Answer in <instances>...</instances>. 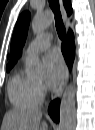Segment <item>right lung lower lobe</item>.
Segmentation results:
<instances>
[{"label": "right lung lower lobe", "mask_w": 95, "mask_h": 130, "mask_svg": "<svg viewBox=\"0 0 95 130\" xmlns=\"http://www.w3.org/2000/svg\"><path fill=\"white\" fill-rule=\"evenodd\" d=\"M75 46L73 41L72 31L68 32V36L65 42L62 44V53L65 57L67 64L71 67L74 59ZM49 114L56 122L59 121V101L56 100L50 104Z\"/></svg>", "instance_id": "98d812e1"}]
</instances>
